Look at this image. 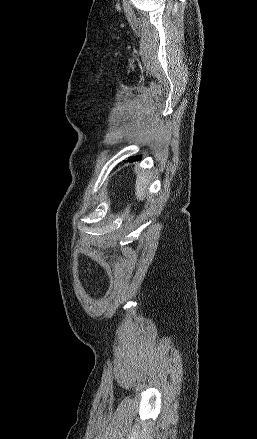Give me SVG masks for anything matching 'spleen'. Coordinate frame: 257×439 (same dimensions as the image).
I'll return each instance as SVG.
<instances>
[{
  "instance_id": "1",
  "label": "spleen",
  "mask_w": 257,
  "mask_h": 439,
  "mask_svg": "<svg viewBox=\"0 0 257 439\" xmlns=\"http://www.w3.org/2000/svg\"><path fill=\"white\" fill-rule=\"evenodd\" d=\"M150 183L149 173L140 171L137 173L135 194L137 199L141 200L145 197L147 187Z\"/></svg>"
}]
</instances>
